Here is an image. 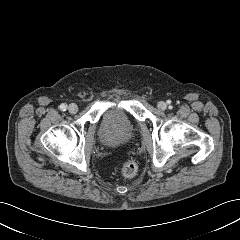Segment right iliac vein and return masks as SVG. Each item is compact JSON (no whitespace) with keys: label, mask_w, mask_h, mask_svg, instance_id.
<instances>
[{"label":"right iliac vein","mask_w":240,"mask_h":240,"mask_svg":"<svg viewBox=\"0 0 240 240\" xmlns=\"http://www.w3.org/2000/svg\"><path fill=\"white\" fill-rule=\"evenodd\" d=\"M68 110L71 114H75L78 110V107L76 104L72 103L69 105Z\"/></svg>","instance_id":"63e3f726"}]
</instances>
